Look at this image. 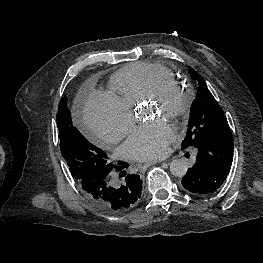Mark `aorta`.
I'll return each instance as SVG.
<instances>
[{"instance_id":"aorta-1","label":"aorta","mask_w":263,"mask_h":263,"mask_svg":"<svg viewBox=\"0 0 263 263\" xmlns=\"http://www.w3.org/2000/svg\"><path fill=\"white\" fill-rule=\"evenodd\" d=\"M187 170L188 164L184 159H175L170 163V172L176 177H183Z\"/></svg>"}]
</instances>
